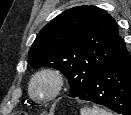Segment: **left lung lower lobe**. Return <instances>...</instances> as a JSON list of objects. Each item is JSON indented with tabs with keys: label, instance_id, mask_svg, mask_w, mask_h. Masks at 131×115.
<instances>
[{
	"label": "left lung lower lobe",
	"instance_id": "obj_1",
	"mask_svg": "<svg viewBox=\"0 0 131 115\" xmlns=\"http://www.w3.org/2000/svg\"><path fill=\"white\" fill-rule=\"evenodd\" d=\"M121 114L131 115V57L126 51L102 70L77 96Z\"/></svg>",
	"mask_w": 131,
	"mask_h": 115
}]
</instances>
